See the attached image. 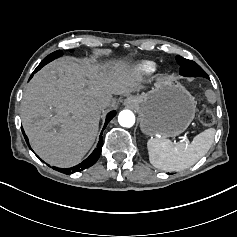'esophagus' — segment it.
<instances>
[{"label":"esophagus","mask_w":237,"mask_h":237,"mask_svg":"<svg viewBox=\"0 0 237 237\" xmlns=\"http://www.w3.org/2000/svg\"><path fill=\"white\" fill-rule=\"evenodd\" d=\"M125 102H127L128 104L131 102V99L130 98H127L126 100H125Z\"/></svg>","instance_id":"obj_1"}]
</instances>
